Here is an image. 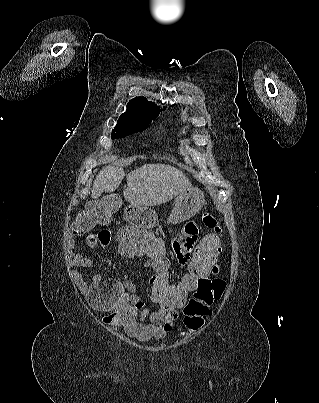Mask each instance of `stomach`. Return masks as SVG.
Listing matches in <instances>:
<instances>
[{
  "label": "stomach",
  "instance_id": "1",
  "mask_svg": "<svg viewBox=\"0 0 319 403\" xmlns=\"http://www.w3.org/2000/svg\"><path fill=\"white\" fill-rule=\"evenodd\" d=\"M204 194L197 188H191L180 194L175 207L168 217L169 223H179L192 218L204 204ZM128 224L141 226L142 231L151 233L152 228H159L157 213L143 207L130 206L125 211Z\"/></svg>",
  "mask_w": 319,
  "mask_h": 403
}]
</instances>
